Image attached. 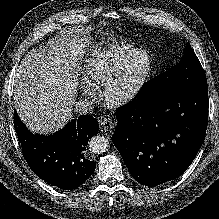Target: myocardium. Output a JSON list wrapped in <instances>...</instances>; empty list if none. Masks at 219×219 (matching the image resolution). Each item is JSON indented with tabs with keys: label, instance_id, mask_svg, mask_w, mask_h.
Segmentation results:
<instances>
[{
	"label": "myocardium",
	"instance_id": "myocardium-1",
	"mask_svg": "<svg viewBox=\"0 0 219 219\" xmlns=\"http://www.w3.org/2000/svg\"><path fill=\"white\" fill-rule=\"evenodd\" d=\"M145 57L147 59V66L142 73L139 80L135 85L127 92L117 93L116 83L120 77L122 70L132 61L138 57ZM153 70V60L150 54L146 50H137L120 62L113 68L106 80L102 84V96L107 104L113 107H123L133 102L142 92L148 78Z\"/></svg>",
	"mask_w": 219,
	"mask_h": 219
}]
</instances>
